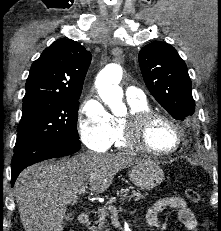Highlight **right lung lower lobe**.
Returning a JSON list of instances; mask_svg holds the SVG:
<instances>
[{
    "mask_svg": "<svg viewBox=\"0 0 221 231\" xmlns=\"http://www.w3.org/2000/svg\"><path fill=\"white\" fill-rule=\"evenodd\" d=\"M81 148V142L70 140H42L14 152L11 163V186L14 185L19 173L26 167L50 158L71 155Z\"/></svg>",
    "mask_w": 221,
    "mask_h": 231,
    "instance_id": "right-lung-lower-lobe-1",
    "label": "right lung lower lobe"
}]
</instances>
